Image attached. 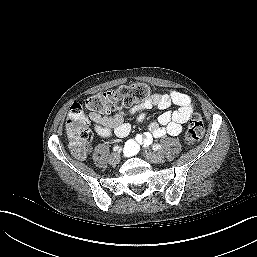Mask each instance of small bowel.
Listing matches in <instances>:
<instances>
[{
    "label": "small bowel",
    "instance_id": "small-bowel-1",
    "mask_svg": "<svg viewBox=\"0 0 257 257\" xmlns=\"http://www.w3.org/2000/svg\"><path fill=\"white\" fill-rule=\"evenodd\" d=\"M171 105H176L177 108L162 113L157 120L148 125V129L143 135H138L135 139L129 140L125 144V153L133 155L140 145H149L154 138H161L165 135L177 136L182 133L184 124L188 121L195 108L188 95L175 90L168 93L154 92L129 112L121 110L113 116L91 112L88 117L93 123L94 131L98 136L108 138L114 134L118 137H125L131 130L130 124L125 122L128 113L137 114L138 121L142 122L145 119L146 110L152 107L167 109Z\"/></svg>",
    "mask_w": 257,
    "mask_h": 257
}]
</instances>
